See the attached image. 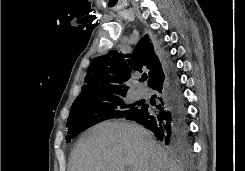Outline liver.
Returning <instances> with one entry per match:
<instances>
[{
    "label": "liver",
    "mask_w": 245,
    "mask_h": 171,
    "mask_svg": "<svg viewBox=\"0 0 245 171\" xmlns=\"http://www.w3.org/2000/svg\"><path fill=\"white\" fill-rule=\"evenodd\" d=\"M183 171L141 126L102 122L79 140L70 171Z\"/></svg>",
    "instance_id": "1"
}]
</instances>
